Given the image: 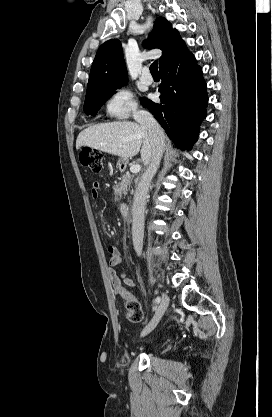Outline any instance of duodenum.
I'll return each instance as SVG.
<instances>
[{
    "instance_id": "obj_1",
    "label": "duodenum",
    "mask_w": 272,
    "mask_h": 417,
    "mask_svg": "<svg viewBox=\"0 0 272 417\" xmlns=\"http://www.w3.org/2000/svg\"><path fill=\"white\" fill-rule=\"evenodd\" d=\"M119 210L121 215L125 218V219H129L130 216V207L126 202H123L120 204L119 206Z\"/></svg>"
}]
</instances>
